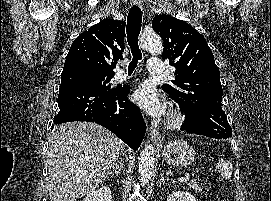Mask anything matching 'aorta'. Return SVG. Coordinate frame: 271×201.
Instances as JSON below:
<instances>
[{"mask_svg": "<svg viewBox=\"0 0 271 201\" xmlns=\"http://www.w3.org/2000/svg\"><path fill=\"white\" fill-rule=\"evenodd\" d=\"M143 49L150 52H161L162 40L156 33H144L140 39ZM155 162L154 147L151 144L145 145L139 158V180L147 184L152 176Z\"/></svg>", "mask_w": 271, "mask_h": 201, "instance_id": "obj_1", "label": "aorta"}]
</instances>
